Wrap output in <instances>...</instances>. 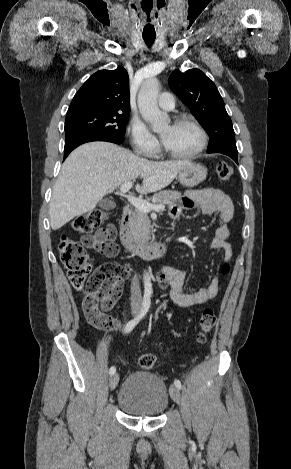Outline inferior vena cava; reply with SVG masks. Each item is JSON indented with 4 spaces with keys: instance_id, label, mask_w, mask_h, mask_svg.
<instances>
[{
    "instance_id": "602c4592",
    "label": "inferior vena cava",
    "mask_w": 291,
    "mask_h": 469,
    "mask_svg": "<svg viewBox=\"0 0 291 469\" xmlns=\"http://www.w3.org/2000/svg\"><path fill=\"white\" fill-rule=\"evenodd\" d=\"M131 305L134 307H140L142 303L141 290L139 286V280L135 274L131 281Z\"/></svg>"
}]
</instances>
